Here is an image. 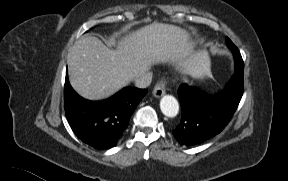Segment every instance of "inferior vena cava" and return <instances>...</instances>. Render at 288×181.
Returning <instances> with one entry per match:
<instances>
[{
  "mask_svg": "<svg viewBox=\"0 0 288 181\" xmlns=\"http://www.w3.org/2000/svg\"><path fill=\"white\" fill-rule=\"evenodd\" d=\"M152 74L143 73L134 78V83L138 88H146L151 84Z\"/></svg>",
  "mask_w": 288,
  "mask_h": 181,
  "instance_id": "1",
  "label": "inferior vena cava"
}]
</instances>
